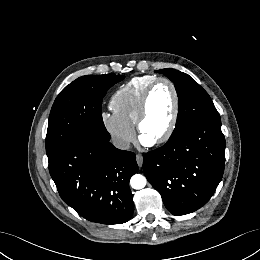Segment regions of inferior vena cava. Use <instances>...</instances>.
Returning a JSON list of instances; mask_svg holds the SVG:
<instances>
[{
	"mask_svg": "<svg viewBox=\"0 0 260 260\" xmlns=\"http://www.w3.org/2000/svg\"><path fill=\"white\" fill-rule=\"evenodd\" d=\"M112 144L114 147L121 149V150H128L130 147V142L120 139V138H114L112 139Z\"/></svg>",
	"mask_w": 260,
	"mask_h": 260,
	"instance_id": "obj_1",
	"label": "inferior vena cava"
}]
</instances>
